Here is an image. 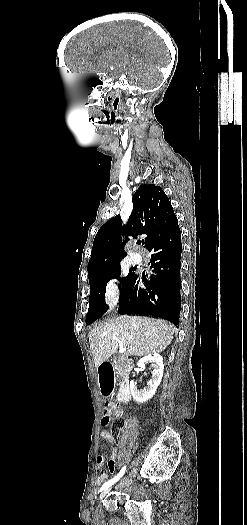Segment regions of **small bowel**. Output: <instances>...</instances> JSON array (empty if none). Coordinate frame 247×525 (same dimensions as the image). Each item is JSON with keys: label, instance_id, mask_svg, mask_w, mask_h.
<instances>
[{"label": "small bowel", "instance_id": "small-bowel-1", "mask_svg": "<svg viewBox=\"0 0 247 525\" xmlns=\"http://www.w3.org/2000/svg\"><path fill=\"white\" fill-rule=\"evenodd\" d=\"M101 438L111 443L113 446V453L109 460V471L112 473L116 469V461L118 458V444L114 435L109 431H102ZM104 456L102 454L97 456V467L100 468L104 463ZM109 479V472H103L96 477V484L102 485Z\"/></svg>", "mask_w": 247, "mask_h": 525}]
</instances>
